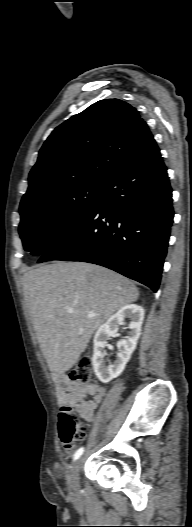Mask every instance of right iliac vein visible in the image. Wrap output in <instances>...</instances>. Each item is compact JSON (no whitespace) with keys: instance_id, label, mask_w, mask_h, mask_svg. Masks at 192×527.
Returning a JSON list of instances; mask_svg holds the SVG:
<instances>
[{"instance_id":"right-iliac-vein-1","label":"right iliac vein","mask_w":192,"mask_h":527,"mask_svg":"<svg viewBox=\"0 0 192 527\" xmlns=\"http://www.w3.org/2000/svg\"><path fill=\"white\" fill-rule=\"evenodd\" d=\"M81 462H82V459H79L76 462H74L68 474V481H69L70 488L74 491L78 489V485H79V470H80Z\"/></svg>"}]
</instances>
